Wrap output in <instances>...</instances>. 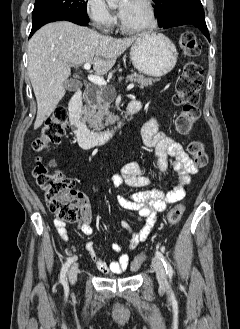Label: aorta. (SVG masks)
<instances>
[{
    "label": "aorta",
    "mask_w": 240,
    "mask_h": 329,
    "mask_svg": "<svg viewBox=\"0 0 240 329\" xmlns=\"http://www.w3.org/2000/svg\"><path fill=\"white\" fill-rule=\"evenodd\" d=\"M110 7H116L118 4L125 2V0H106Z\"/></svg>",
    "instance_id": "762f6f07"
}]
</instances>
